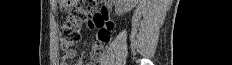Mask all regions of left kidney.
I'll return each instance as SVG.
<instances>
[{"label":"left kidney","instance_id":"left-kidney-1","mask_svg":"<svg viewBox=\"0 0 232 65\" xmlns=\"http://www.w3.org/2000/svg\"><path fill=\"white\" fill-rule=\"evenodd\" d=\"M137 0H115V13L122 15L129 12L136 5Z\"/></svg>","mask_w":232,"mask_h":65}]
</instances>
